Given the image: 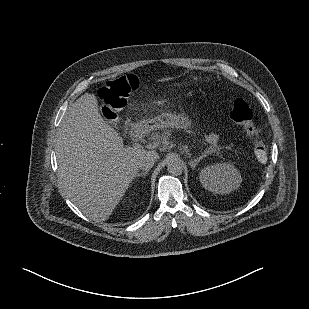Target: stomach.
<instances>
[{"label": "stomach", "instance_id": "0dacf381", "mask_svg": "<svg viewBox=\"0 0 309 309\" xmlns=\"http://www.w3.org/2000/svg\"><path fill=\"white\" fill-rule=\"evenodd\" d=\"M152 126L156 128H164V127H174V128H183L185 123L187 122L186 114L184 113H166L162 115H158L154 118L146 120Z\"/></svg>", "mask_w": 309, "mask_h": 309}]
</instances>
